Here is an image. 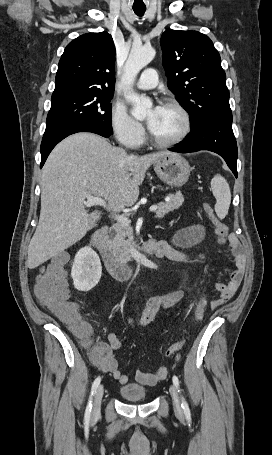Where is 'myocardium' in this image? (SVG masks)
<instances>
[{"mask_svg":"<svg viewBox=\"0 0 272 455\" xmlns=\"http://www.w3.org/2000/svg\"><path fill=\"white\" fill-rule=\"evenodd\" d=\"M162 106L174 108L179 112L183 122L182 129L176 137L170 140H160L157 137H155L152 132H150V140L155 146L160 148L173 147L181 143L191 132V117L188 110L180 102L176 100L167 99L163 102Z\"/></svg>","mask_w":272,"mask_h":455,"instance_id":"obj_1","label":"myocardium"}]
</instances>
